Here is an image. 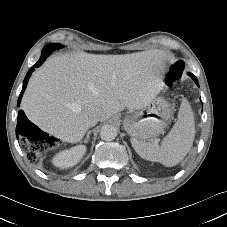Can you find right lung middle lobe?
<instances>
[{"label":"right lung middle lobe","mask_w":227,"mask_h":227,"mask_svg":"<svg viewBox=\"0 0 227 227\" xmlns=\"http://www.w3.org/2000/svg\"><path fill=\"white\" fill-rule=\"evenodd\" d=\"M47 46L52 47V48H53V50L63 48V46H62L61 44H58V43L49 44V45H47Z\"/></svg>","instance_id":"right-lung-middle-lobe-1"}]
</instances>
